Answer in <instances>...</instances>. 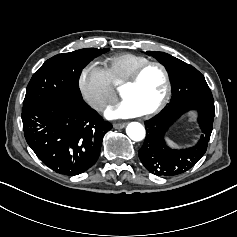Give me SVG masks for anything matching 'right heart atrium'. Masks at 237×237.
<instances>
[{
	"label": "right heart atrium",
	"instance_id": "d8ad5b80",
	"mask_svg": "<svg viewBox=\"0 0 237 237\" xmlns=\"http://www.w3.org/2000/svg\"><path fill=\"white\" fill-rule=\"evenodd\" d=\"M78 86L86 103L98 112L104 111L116 101V92L108 75L97 62H91L82 68Z\"/></svg>",
	"mask_w": 237,
	"mask_h": 237
}]
</instances>
